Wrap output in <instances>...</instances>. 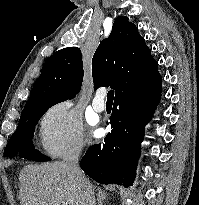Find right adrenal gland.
Instances as JSON below:
<instances>
[{"instance_id": "2a0ac1e0", "label": "right adrenal gland", "mask_w": 199, "mask_h": 205, "mask_svg": "<svg viewBox=\"0 0 199 205\" xmlns=\"http://www.w3.org/2000/svg\"><path fill=\"white\" fill-rule=\"evenodd\" d=\"M106 197H107V194L101 189H99L97 193L98 205H103V202L106 199Z\"/></svg>"}]
</instances>
